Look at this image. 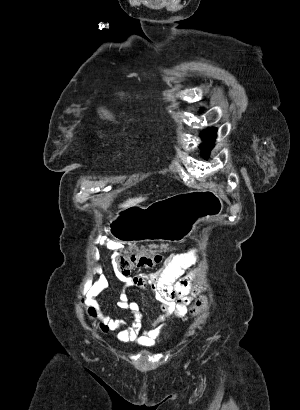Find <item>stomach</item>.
<instances>
[{"label": "stomach", "mask_w": 300, "mask_h": 410, "mask_svg": "<svg viewBox=\"0 0 300 410\" xmlns=\"http://www.w3.org/2000/svg\"><path fill=\"white\" fill-rule=\"evenodd\" d=\"M154 204L119 210L110 219V234L123 243L182 242L200 222L219 216L224 208L222 197L212 190L190 191Z\"/></svg>", "instance_id": "stomach-1"}]
</instances>
